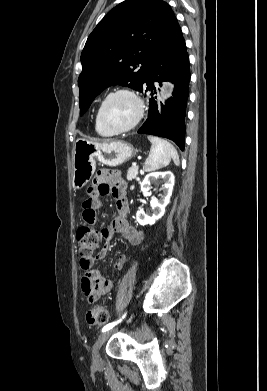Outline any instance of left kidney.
Returning <instances> with one entry per match:
<instances>
[{"label":"left kidney","instance_id":"1","mask_svg":"<svg viewBox=\"0 0 267 391\" xmlns=\"http://www.w3.org/2000/svg\"><path fill=\"white\" fill-rule=\"evenodd\" d=\"M158 179H163L164 184L162 186V195L160 199L151 200V208L153 211L152 216L147 215L143 210H139L136 213V219L142 226L147 224L153 225L157 220L161 219L165 214L166 206L170 202L175 181L174 175L170 171L154 172L146 175L141 183V191L143 192V195H149L151 184Z\"/></svg>","mask_w":267,"mask_h":391}]
</instances>
